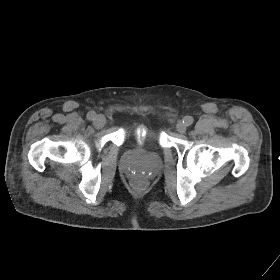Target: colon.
I'll use <instances>...</instances> for the list:
<instances>
[{"instance_id":"5ec220e1","label":"colon","mask_w":280,"mask_h":280,"mask_svg":"<svg viewBox=\"0 0 280 280\" xmlns=\"http://www.w3.org/2000/svg\"><path fill=\"white\" fill-rule=\"evenodd\" d=\"M135 185H136V187H138V188H142V187L145 186V182L142 181V180H138V181L135 182Z\"/></svg>"}]
</instances>
